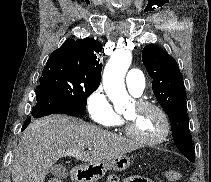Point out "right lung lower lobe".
<instances>
[{
    "instance_id": "1",
    "label": "right lung lower lobe",
    "mask_w": 211,
    "mask_h": 182,
    "mask_svg": "<svg viewBox=\"0 0 211 182\" xmlns=\"http://www.w3.org/2000/svg\"><path fill=\"white\" fill-rule=\"evenodd\" d=\"M37 104L32 108V116L35 118H40L50 114H67V115H80L81 112L72 108L66 102L55 98L54 96L47 94H36ZM31 122V117H28L22 127V131Z\"/></svg>"
}]
</instances>
